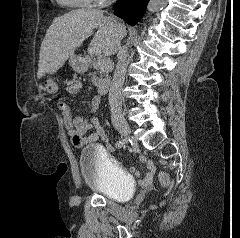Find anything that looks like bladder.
<instances>
[{"mask_svg":"<svg viewBox=\"0 0 240 238\" xmlns=\"http://www.w3.org/2000/svg\"><path fill=\"white\" fill-rule=\"evenodd\" d=\"M79 165L83 182L90 190L117 202L133 196V179L103 148L93 144L84 147Z\"/></svg>","mask_w":240,"mask_h":238,"instance_id":"bladder-1","label":"bladder"}]
</instances>
